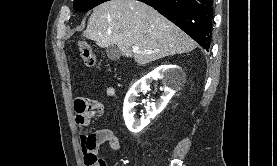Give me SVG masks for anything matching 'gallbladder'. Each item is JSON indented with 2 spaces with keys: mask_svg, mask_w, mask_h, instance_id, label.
<instances>
[{
  "mask_svg": "<svg viewBox=\"0 0 277 166\" xmlns=\"http://www.w3.org/2000/svg\"><path fill=\"white\" fill-rule=\"evenodd\" d=\"M106 54L110 60H118L120 58V51L115 45H110L106 49Z\"/></svg>",
  "mask_w": 277,
  "mask_h": 166,
  "instance_id": "gallbladder-1",
  "label": "gallbladder"
}]
</instances>
